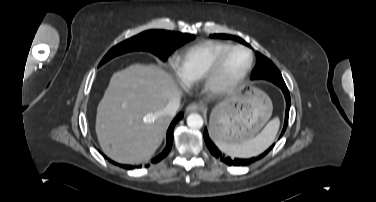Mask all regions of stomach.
Segmentation results:
<instances>
[{"mask_svg":"<svg viewBox=\"0 0 376 202\" xmlns=\"http://www.w3.org/2000/svg\"><path fill=\"white\" fill-rule=\"evenodd\" d=\"M271 114L272 103L264 92L258 89L244 94L237 92L214 108L210 133L215 141L240 144L252 139Z\"/></svg>","mask_w":376,"mask_h":202,"instance_id":"stomach-1","label":"stomach"}]
</instances>
